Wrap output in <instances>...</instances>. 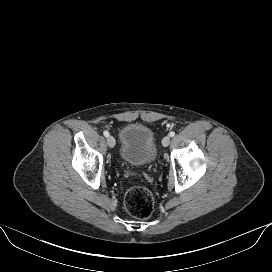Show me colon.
I'll return each mask as SVG.
<instances>
[{
	"mask_svg": "<svg viewBox=\"0 0 272 272\" xmlns=\"http://www.w3.org/2000/svg\"><path fill=\"white\" fill-rule=\"evenodd\" d=\"M124 204L128 213L140 219L149 217L154 207L150 191L142 186L130 187L125 194Z\"/></svg>",
	"mask_w": 272,
	"mask_h": 272,
	"instance_id": "obj_1",
	"label": "colon"
}]
</instances>
